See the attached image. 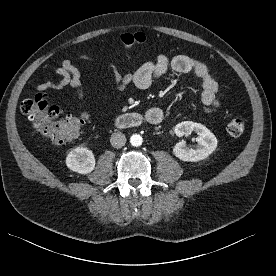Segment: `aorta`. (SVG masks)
<instances>
[{
  "mask_svg": "<svg viewBox=\"0 0 276 276\" xmlns=\"http://www.w3.org/2000/svg\"><path fill=\"white\" fill-rule=\"evenodd\" d=\"M130 143L132 146L138 147L142 144V137L139 134H133L130 137Z\"/></svg>",
  "mask_w": 276,
  "mask_h": 276,
  "instance_id": "aorta-1",
  "label": "aorta"
}]
</instances>
